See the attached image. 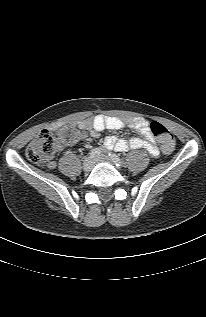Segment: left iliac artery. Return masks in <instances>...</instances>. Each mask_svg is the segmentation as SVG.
<instances>
[{
    "instance_id": "44dca946",
    "label": "left iliac artery",
    "mask_w": 206,
    "mask_h": 317,
    "mask_svg": "<svg viewBox=\"0 0 206 317\" xmlns=\"http://www.w3.org/2000/svg\"><path fill=\"white\" fill-rule=\"evenodd\" d=\"M110 158L112 159V161L117 165V166H122L123 165V161L119 158V156H117L116 154H109Z\"/></svg>"
}]
</instances>
